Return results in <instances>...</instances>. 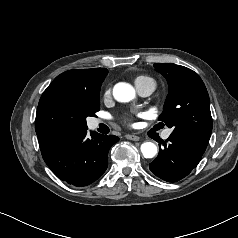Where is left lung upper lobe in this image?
I'll return each mask as SVG.
<instances>
[{"mask_svg": "<svg viewBox=\"0 0 238 238\" xmlns=\"http://www.w3.org/2000/svg\"><path fill=\"white\" fill-rule=\"evenodd\" d=\"M154 66L169 85V94L159 117L160 124L165 123L173 132L209 141L212 117L209 95L202 79L184 66L172 63H157Z\"/></svg>", "mask_w": 238, "mask_h": 238, "instance_id": "left-lung-upper-lobe-1", "label": "left lung upper lobe"}]
</instances>
